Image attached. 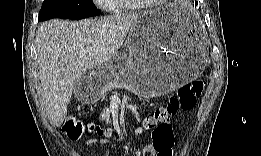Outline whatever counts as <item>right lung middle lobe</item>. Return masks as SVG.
Returning <instances> with one entry per match:
<instances>
[{"instance_id": "1", "label": "right lung middle lobe", "mask_w": 261, "mask_h": 156, "mask_svg": "<svg viewBox=\"0 0 261 156\" xmlns=\"http://www.w3.org/2000/svg\"><path fill=\"white\" fill-rule=\"evenodd\" d=\"M100 14L91 0H44L39 20L51 18L83 19Z\"/></svg>"}]
</instances>
